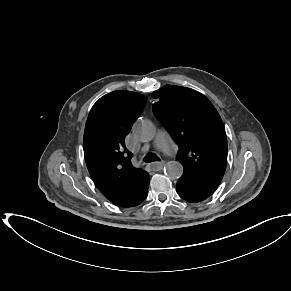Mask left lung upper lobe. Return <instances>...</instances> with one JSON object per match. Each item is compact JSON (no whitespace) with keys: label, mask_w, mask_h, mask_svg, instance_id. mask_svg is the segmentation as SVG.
<instances>
[{"label":"left lung upper lobe","mask_w":291,"mask_h":291,"mask_svg":"<svg viewBox=\"0 0 291 291\" xmlns=\"http://www.w3.org/2000/svg\"><path fill=\"white\" fill-rule=\"evenodd\" d=\"M157 119L179 146L184 172L180 180L212 194L227 164V137L222 119L200 92L165 85L152 93Z\"/></svg>","instance_id":"5c2ea615"}]
</instances>
